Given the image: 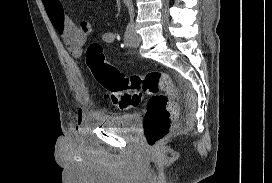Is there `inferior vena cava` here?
<instances>
[{
	"label": "inferior vena cava",
	"mask_w": 272,
	"mask_h": 183,
	"mask_svg": "<svg viewBox=\"0 0 272 183\" xmlns=\"http://www.w3.org/2000/svg\"><path fill=\"white\" fill-rule=\"evenodd\" d=\"M128 9H129V14H130V17H131V20H132V18H133V6H132V3H131V0L129 1Z\"/></svg>",
	"instance_id": "obj_1"
}]
</instances>
